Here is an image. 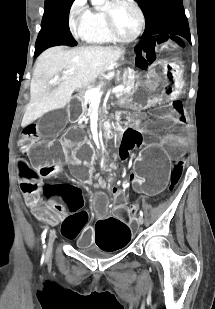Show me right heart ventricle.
Masks as SVG:
<instances>
[{"label":"right heart ventricle","instance_id":"right-heart-ventricle-1","mask_svg":"<svg viewBox=\"0 0 215 309\" xmlns=\"http://www.w3.org/2000/svg\"><path fill=\"white\" fill-rule=\"evenodd\" d=\"M83 34H87L88 38H90V42L110 41L105 23H102L99 16H94V19H88V21H86V27H83Z\"/></svg>","mask_w":215,"mask_h":309}]
</instances>
